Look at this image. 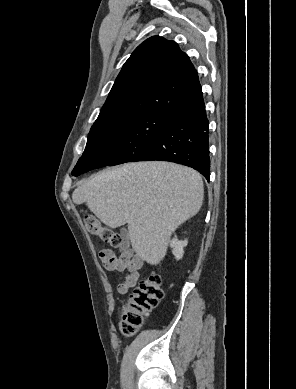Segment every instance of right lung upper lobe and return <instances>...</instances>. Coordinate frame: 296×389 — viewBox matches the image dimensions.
I'll return each instance as SVG.
<instances>
[{
  "mask_svg": "<svg viewBox=\"0 0 296 389\" xmlns=\"http://www.w3.org/2000/svg\"><path fill=\"white\" fill-rule=\"evenodd\" d=\"M204 105L197 71L174 41L153 36L119 73L98 118L158 113L172 118Z\"/></svg>",
  "mask_w": 296,
  "mask_h": 389,
  "instance_id": "cb5924a9",
  "label": "right lung upper lobe"
}]
</instances>
